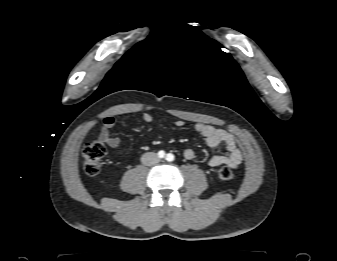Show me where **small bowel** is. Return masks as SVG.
I'll return each mask as SVG.
<instances>
[{
    "label": "small bowel",
    "mask_w": 337,
    "mask_h": 261,
    "mask_svg": "<svg viewBox=\"0 0 337 261\" xmlns=\"http://www.w3.org/2000/svg\"><path fill=\"white\" fill-rule=\"evenodd\" d=\"M142 120L145 123H152L153 117L149 113L142 114ZM116 122L115 117L107 116L103 120V125L100 131L99 138L105 144H107L112 149H117L120 146V139L111 134V129L114 127ZM184 122L178 120L176 122L177 127L183 126ZM195 131L204 137L205 142L211 149H216L220 145H224L227 155H215L209 161L210 167H218L221 165H228L231 168H238L242 162V153L237 146L234 136L228 131L214 127L205 123L195 124ZM184 157L191 160L195 157V152L191 148H186L183 152Z\"/></svg>",
    "instance_id": "small-bowel-1"
}]
</instances>
